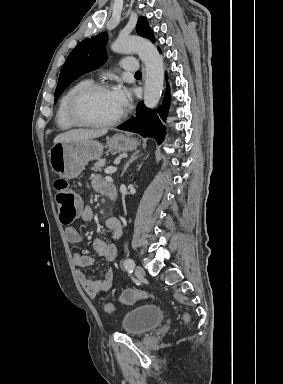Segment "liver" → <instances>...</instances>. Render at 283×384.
<instances>
[{
    "label": "liver",
    "instance_id": "obj_1",
    "mask_svg": "<svg viewBox=\"0 0 283 384\" xmlns=\"http://www.w3.org/2000/svg\"><path fill=\"white\" fill-rule=\"evenodd\" d=\"M108 130H70V132H64L54 138V144L58 142H81V140H93V138H100L107 134Z\"/></svg>",
    "mask_w": 283,
    "mask_h": 384
}]
</instances>
